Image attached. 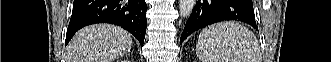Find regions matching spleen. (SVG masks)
<instances>
[{
  "label": "spleen",
  "instance_id": "obj_1",
  "mask_svg": "<svg viewBox=\"0 0 331 62\" xmlns=\"http://www.w3.org/2000/svg\"><path fill=\"white\" fill-rule=\"evenodd\" d=\"M254 34L237 22L213 24L199 34L196 55L202 62H258Z\"/></svg>",
  "mask_w": 331,
  "mask_h": 62
}]
</instances>
